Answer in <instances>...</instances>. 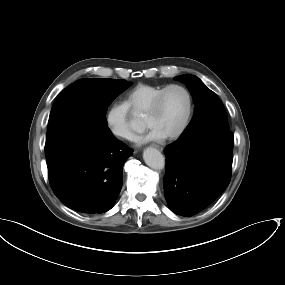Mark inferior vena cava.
Segmentation results:
<instances>
[{
  "mask_svg": "<svg viewBox=\"0 0 285 285\" xmlns=\"http://www.w3.org/2000/svg\"><path fill=\"white\" fill-rule=\"evenodd\" d=\"M127 134V132L124 131V135Z\"/></svg>",
  "mask_w": 285,
  "mask_h": 285,
  "instance_id": "602c4592",
  "label": "inferior vena cava"
}]
</instances>
